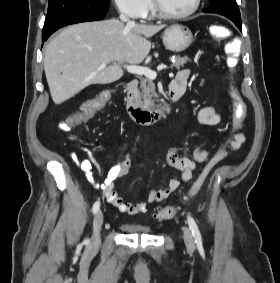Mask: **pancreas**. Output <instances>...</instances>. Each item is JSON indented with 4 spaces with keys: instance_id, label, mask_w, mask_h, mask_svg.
Returning a JSON list of instances; mask_svg holds the SVG:
<instances>
[{
    "instance_id": "1",
    "label": "pancreas",
    "mask_w": 280,
    "mask_h": 283,
    "mask_svg": "<svg viewBox=\"0 0 280 283\" xmlns=\"http://www.w3.org/2000/svg\"><path fill=\"white\" fill-rule=\"evenodd\" d=\"M190 59L187 56L181 57L175 55V62L172 64L176 69L183 67ZM140 98L141 104L144 108H154L157 98V93L155 91V84L151 79L142 78L140 80Z\"/></svg>"
}]
</instances>
